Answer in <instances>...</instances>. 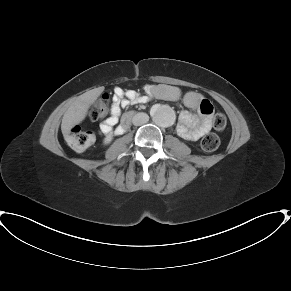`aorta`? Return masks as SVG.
<instances>
[{
	"label": "aorta",
	"instance_id": "obj_1",
	"mask_svg": "<svg viewBox=\"0 0 291 291\" xmlns=\"http://www.w3.org/2000/svg\"><path fill=\"white\" fill-rule=\"evenodd\" d=\"M152 119L158 126L169 127L174 123L175 113L165 105H158L151 110Z\"/></svg>",
	"mask_w": 291,
	"mask_h": 291
}]
</instances>
